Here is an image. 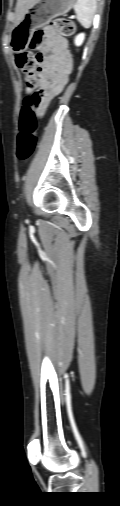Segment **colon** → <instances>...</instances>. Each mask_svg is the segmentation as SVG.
Masks as SVG:
<instances>
[{"label": "colon", "mask_w": 120, "mask_h": 506, "mask_svg": "<svg viewBox=\"0 0 120 506\" xmlns=\"http://www.w3.org/2000/svg\"><path fill=\"white\" fill-rule=\"evenodd\" d=\"M47 28H52L63 36H71L75 32L74 23L63 17L52 19ZM44 35L45 30H36L31 39V50L16 55V65L25 75L24 86L26 92L17 137L16 156L20 161H26L33 155L38 142L36 111L40 108L42 97L40 92L37 91L40 75L37 72L38 57L35 51L41 48Z\"/></svg>", "instance_id": "1"}]
</instances>
